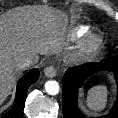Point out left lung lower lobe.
<instances>
[{"label": "left lung lower lobe", "instance_id": "1", "mask_svg": "<svg viewBox=\"0 0 118 118\" xmlns=\"http://www.w3.org/2000/svg\"><path fill=\"white\" fill-rule=\"evenodd\" d=\"M100 70H113L118 87V54L103 59L99 63H85L69 68L62 78L63 116L64 118H87L78 108V92L84 81ZM98 118H118V97L109 114Z\"/></svg>", "mask_w": 118, "mask_h": 118}]
</instances>
